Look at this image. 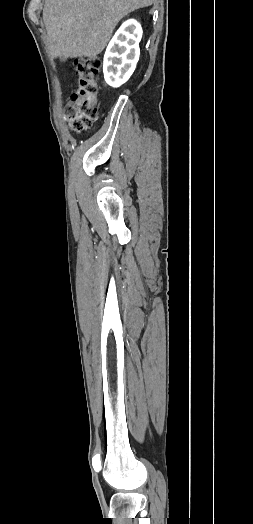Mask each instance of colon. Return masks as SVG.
<instances>
[{"instance_id":"colon-1","label":"colon","mask_w":253,"mask_h":524,"mask_svg":"<svg viewBox=\"0 0 253 524\" xmlns=\"http://www.w3.org/2000/svg\"><path fill=\"white\" fill-rule=\"evenodd\" d=\"M101 61L96 57L80 58L74 67L78 84L65 105V117L76 132L92 127L97 116L98 84L97 75Z\"/></svg>"}]
</instances>
